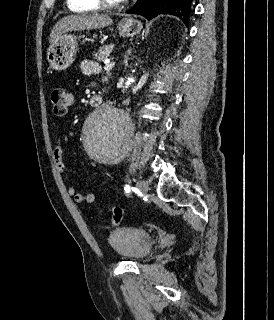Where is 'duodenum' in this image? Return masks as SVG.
<instances>
[{"mask_svg": "<svg viewBox=\"0 0 274 320\" xmlns=\"http://www.w3.org/2000/svg\"><path fill=\"white\" fill-rule=\"evenodd\" d=\"M89 102L92 106L97 107L102 103V97L99 95H93Z\"/></svg>", "mask_w": 274, "mask_h": 320, "instance_id": "410a0bca", "label": "duodenum"}]
</instances>
